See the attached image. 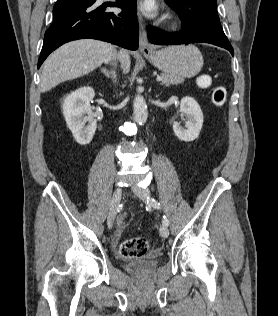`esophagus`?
Listing matches in <instances>:
<instances>
[{
    "mask_svg": "<svg viewBox=\"0 0 278 316\" xmlns=\"http://www.w3.org/2000/svg\"><path fill=\"white\" fill-rule=\"evenodd\" d=\"M142 3H143L142 0H138L137 18H138V24H139V50L144 55H149L153 52V49L150 43L148 42L146 27L144 24L143 17L141 15Z\"/></svg>",
    "mask_w": 278,
    "mask_h": 316,
    "instance_id": "esophagus-1",
    "label": "esophagus"
}]
</instances>
